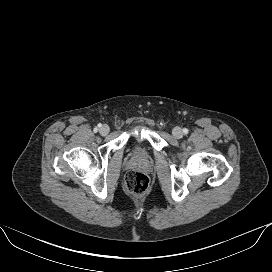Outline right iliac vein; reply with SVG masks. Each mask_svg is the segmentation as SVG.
<instances>
[{
  "mask_svg": "<svg viewBox=\"0 0 272 272\" xmlns=\"http://www.w3.org/2000/svg\"><path fill=\"white\" fill-rule=\"evenodd\" d=\"M99 131H100L101 135L105 136V135H107L109 133L110 128H109L108 125L104 124L103 126H101Z\"/></svg>",
  "mask_w": 272,
  "mask_h": 272,
  "instance_id": "obj_1",
  "label": "right iliac vein"
}]
</instances>
